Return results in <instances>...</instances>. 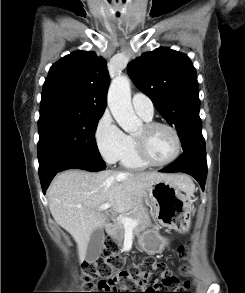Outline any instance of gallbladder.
Returning <instances> with one entry per match:
<instances>
[{"instance_id":"1","label":"gallbladder","mask_w":245,"mask_h":293,"mask_svg":"<svg viewBox=\"0 0 245 293\" xmlns=\"http://www.w3.org/2000/svg\"><path fill=\"white\" fill-rule=\"evenodd\" d=\"M104 237L105 235L103 228H96L92 232L86 250L85 258L87 261L94 262L99 258L104 242Z\"/></svg>"}]
</instances>
